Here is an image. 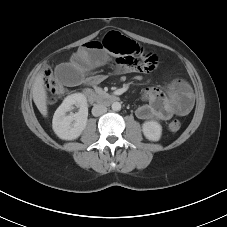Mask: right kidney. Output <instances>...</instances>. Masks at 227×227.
Listing matches in <instances>:
<instances>
[{
	"mask_svg": "<svg viewBox=\"0 0 227 227\" xmlns=\"http://www.w3.org/2000/svg\"><path fill=\"white\" fill-rule=\"evenodd\" d=\"M73 105L79 107V111L72 115H66V112L72 110ZM87 117L86 97L82 93L71 94L64 99L54 113L52 120L53 131L60 139H77L87 125Z\"/></svg>",
	"mask_w": 227,
	"mask_h": 227,
	"instance_id": "obj_1",
	"label": "right kidney"
}]
</instances>
